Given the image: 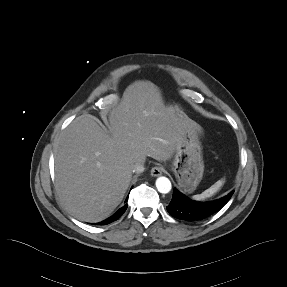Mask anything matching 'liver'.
I'll return each mask as SVG.
<instances>
[{"instance_id":"6515ba94","label":"liver","mask_w":287,"mask_h":287,"mask_svg":"<svg viewBox=\"0 0 287 287\" xmlns=\"http://www.w3.org/2000/svg\"><path fill=\"white\" fill-rule=\"evenodd\" d=\"M174 113L157 86L136 81L111 110L109 130L89 114L73 120L54 150L55 185L67 210L86 222L107 218L122 201L135 163L174 155L179 140ZM191 125L202 132L196 122Z\"/></svg>"}]
</instances>
